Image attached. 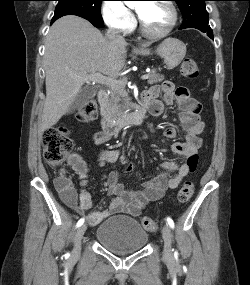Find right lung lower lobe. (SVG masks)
I'll list each match as a JSON object with an SVG mask.
<instances>
[{"instance_id": "1", "label": "right lung lower lobe", "mask_w": 250, "mask_h": 285, "mask_svg": "<svg viewBox=\"0 0 250 285\" xmlns=\"http://www.w3.org/2000/svg\"><path fill=\"white\" fill-rule=\"evenodd\" d=\"M51 23H53V22H51ZM95 27H97V28H102V27H104V25H100V24H96V23H92Z\"/></svg>"}]
</instances>
